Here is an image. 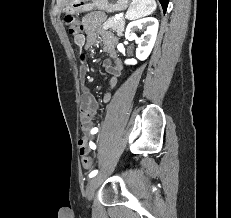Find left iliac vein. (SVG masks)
Returning a JSON list of instances; mask_svg holds the SVG:
<instances>
[{"mask_svg": "<svg viewBox=\"0 0 231 218\" xmlns=\"http://www.w3.org/2000/svg\"><path fill=\"white\" fill-rule=\"evenodd\" d=\"M97 182L98 178L94 176L87 183L85 195L89 201H91L94 197L95 191L97 189Z\"/></svg>", "mask_w": 231, "mask_h": 218, "instance_id": "left-iliac-vein-1", "label": "left iliac vein"}]
</instances>
